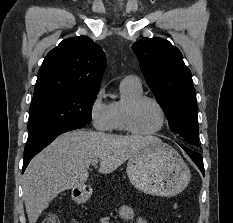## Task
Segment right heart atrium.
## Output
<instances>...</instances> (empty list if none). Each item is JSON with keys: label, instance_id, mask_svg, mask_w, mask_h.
I'll use <instances>...</instances> for the list:
<instances>
[{"label": "right heart atrium", "instance_id": "1", "mask_svg": "<svg viewBox=\"0 0 233 223\" xmlns=\"http://www.w3.org/2000/svg\"><path fill=\"white\" fill-rule=\"evenodd\" d=\"M104 89L96 94L89 107L90 120L97 130L107 131L111 129L110 104L104 100Z\"/></svg>", "mask_w": 233, "mask_h": 223}]
</instances>
